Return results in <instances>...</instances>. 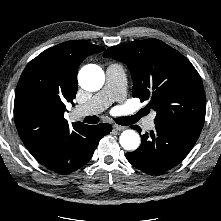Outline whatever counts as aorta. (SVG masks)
I'll return each mask as SVG.
<instances>
[{
  "mask_svg": "<svg viewBox=\"0 0 221 221\" xmlns=\"http://www.w3.org/2000/svg\"><path fill=\"white\" fill-rule=\"evenodd\" d=\"M78 81L83 89L93 92L103 86L105 75L98 65L88 64L79 71ZM119 142L125 150L134 151L140 145V137L136 131L129 129L121 133Z\"/></svg>",
  "mask_w": 221,
  "mask_h": 221,
  "instance_id": "762f6f07",
  "label": "aorta"
}]
</instances>
